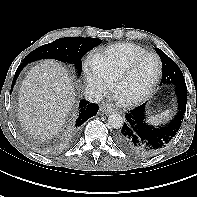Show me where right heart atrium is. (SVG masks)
<instances>
[{"mask_svg": "<svg viewBox=\"0 0 197 197\" xmlns=\"http://www.w3.org/2000/svg\"><path fill=\"white\" fill-rule=\"evenodd\" d=\"M84 76L89 92L95 98H101L112 87L113 81L92 64L85 67Z\"/></svg>", "mask_w": 197, "mask_h": 197, "instance_id": "right-heart-atrium-1", "label": "right heart atrium"}]
</instances>
